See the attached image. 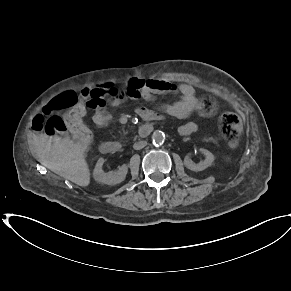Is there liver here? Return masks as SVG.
Segmentation results:
<instances>
[{
  "instance_id": "1",
  "label": "liver",
  "mask_w": 291,
  "mask_h": 291,
  "mask_svg": "<svg viewBox=\"0 0 291 291\" xmlns=\"http://www.w3.org/2000/svg\"><path fill=\"white\" fill-rule=\"evenodd\" d=\"M32 154L50 170L79 186L90 184V170L84 149L69 137L31 134Z\"/></svg>"
}]
</instances>
